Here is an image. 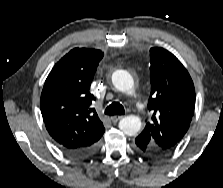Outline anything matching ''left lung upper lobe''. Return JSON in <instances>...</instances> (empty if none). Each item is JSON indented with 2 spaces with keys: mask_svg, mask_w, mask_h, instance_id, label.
<instances>
[{
  "mask_svg": "<svg viewBox=\"0 0 223 188\" xmlns=\"http://www.w3.org/2000/svg\"><path fill=\"white\" fill-rule=\"evenodd\" d=\"M152 118L138 136L150 148L171 152L187 132L195 108L193 81L182 63L169 51L150 49Z\"/></svg>",
  "mask_w": 223,
  "mask_h": 188,
  "instance_id": "left-lung-upper-lobe-1",
  "label": "left lung upper lobe"
}]
</instances>
